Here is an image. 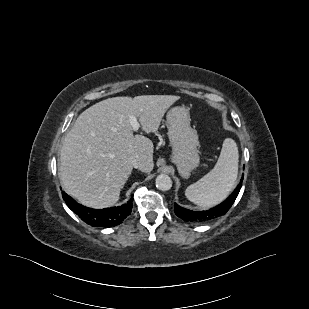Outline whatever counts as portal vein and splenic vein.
<instances>
[{
	"mask_svg": "<svg viewBox=\"0 0 309 309\" xmlns=\"http://www.w3.org/2000/svg\"><path fill=\"white\" fill-rule=\"evenodd\" d=\"M129 121L134 131H137L140 128V124L138 123L137 118L135 116H131Z\"/></svg>",
	"mask_w": 309,
	"mask_h": 309,
	"instance_id": "18ae733b",
	"label": "portal vein and splenic vein"
}]
</instances>
